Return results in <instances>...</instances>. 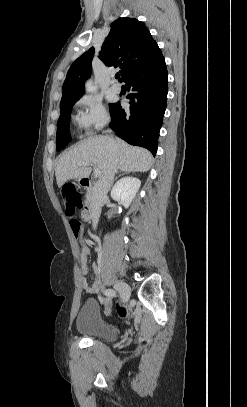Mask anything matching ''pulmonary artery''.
I'll list each match as a JSON object with an SVG mask.
<instances>
[{
  "instance_id": "1",
  "label": "pulmonary artery",
  "mask_w": 247,
  "mask_h": 407,
  "mask_svg": "<svg viewBox=\"0 0 247 407\" xmlns=\"http://www.w3.org/2000/svg\"><path fill=\"white\" fill-rule=\"evenodd\" d=\"M111 88L116 93H119L121 91V86L118 83H116L114 80L112 81Z\"/></svg>"
}]
</instances>
